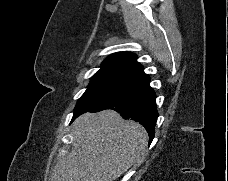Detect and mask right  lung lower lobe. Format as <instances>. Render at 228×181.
Listing matches in <instances>:
<instances>
[{"mask_svg": "<svg viewBox=\"0 0 228 181\" xmlns=\"http://www.w3.org/2000/svg\"><path fill=\"white\" fill-rule=\"evenodd\" d=\"M150 77L146 74L132 80L123 91L110 101L93 109L78 113L73 119L85 112H98L112 109L122 114L125 119H132L142 124L149 134L150 142L154 138L155 123L158 117L156 95L149 86Z\"/></svg>", "mask_w": 228, "mask_h": 181, "instance_id": "98d812e1", "label": "right lung lower lobe"}]
</instances>
